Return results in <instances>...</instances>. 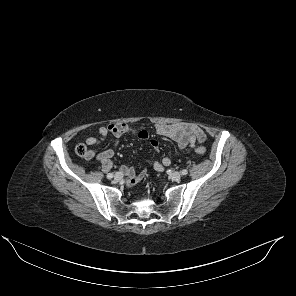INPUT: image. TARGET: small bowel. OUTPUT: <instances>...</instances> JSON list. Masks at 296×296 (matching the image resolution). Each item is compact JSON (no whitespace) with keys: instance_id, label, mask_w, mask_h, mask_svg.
Segmentation results:
<instances>
[{"instance_id":"obj_1","label":"small bowel","mask_w":296,"mask_h":296,"mask_svg":"<svg viewBox=\"0 0 296 296\" xmlns=\"http://www.w3.org/2000/svg\"><path fill=\"white\" fill-rule=\"evenodd\" d=\"M155 133L173 140L177 143L180 149H191L196 142L203 143L206 139V135L200 127L189 123L156 124ZM126 134L135 135L141 140L149 141L150 144L159 151L158 141L152 139L147 130L137 129L127 123L109 124L100 127L98 129L99 137H88L85 140V143L89 146L97 145L107 136H111L114 145L117 146L119 139ZM113 155V150L109 149L99 153L97 159L100 161H107L111 159ZM94 156V152L91 151V155L86 159H92ZM171 163V158L164 157L161 161H155L153 166L156 171L162 172L165 167L171 165ZM121 172L127 176V184L129 185L138 183L144 176L143 172L138 173L134 167L129 165H123L121 167Z\"/></svg>"}]
</instances>
